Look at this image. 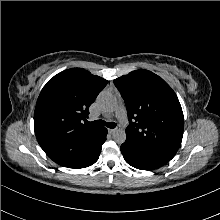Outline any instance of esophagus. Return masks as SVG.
<instances>
[{"mask_svg": "<svg viewBox=\"0 0 220 220\" xmlns=\"http://www.w3.org/2000/svg\"><path fill=\"white\" fill-rule=\"evenodd\" d=\"M115 131H116V129H108V132H109L110 134L114 133Z\"/></svg>", "mask_w": 220, "mask_h": 220, "instance_id": "34e87169", "label": "esophagus"}]
</instances>
